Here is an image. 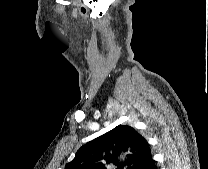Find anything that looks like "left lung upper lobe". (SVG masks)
Listing matches in <instances>:
<instances>
[{"instance_id":"obj_1","label":"left lung upper lobe","mask_w":208,"mask_h":169,"mask_svg":"<svg viewBox=\"0 0 208 169\" xmlns=\"http://www.w3.org/2000/svg\"><path fill=\"white\" fill-rule=\"evenodd\" d=\"M150 148L145 138L127 125L111 131L83 145L65 169H140Z\"/></svg>"}]
</instances>
